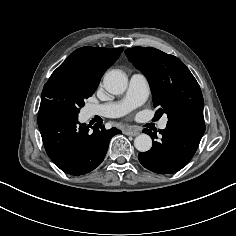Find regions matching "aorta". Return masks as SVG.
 <instances>
[{
    "mask_svg": "<svg viewBox=\"0 0 236 236\" xmlns=\"http://www.w3.org/2000/svg\"><path fill=\"white\" fill-rule=\"evenodd\" d=\"M103 84L109 93L119 95L125 92L128 79L124 72L113 69L105 74ZM134 146L140 152H147L152 147V139L147 134H140L135 138Z\"/></svg>",
    "mask_w": 236,
    "mask_h": 236,
    "instance_id": "aorta-1",
    "label": "aorta"
}]
</instances>
